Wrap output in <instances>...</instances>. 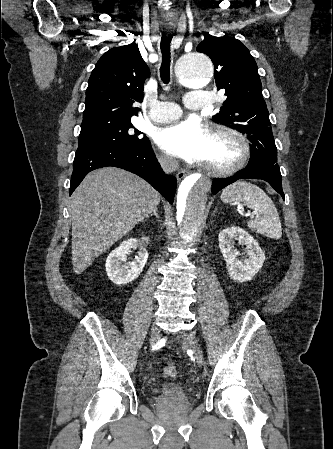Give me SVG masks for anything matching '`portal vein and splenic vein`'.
<instances>
[{
    "mask_svg": "<svg viewBox=\"0 0 333 449\" xmlns=\"http://www.w3.org/2000/svg\"><path fill=\"white\" fill-rule=\"evenodd\" d=\"M254 217V215H251V218H253Z\"/></svg>",
    "mask_w": 333,
    "mask_h": 449,
    "instance_id": "18ae733b",
    "label": "portal vein and splenic vein"
}]
</instances>
